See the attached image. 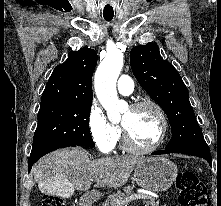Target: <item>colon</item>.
<instances>
[{"mask_svg":"<svg viewBox=\"0 0 221 206\" xmlns=\"http://www.w3.org/2000/svg\"><path fill=\"white\" fill-rule=\"evenodd\" d=\"M181 206H210V199L204 183L191 171H182L177 176L176 182ZM42 206H67L61 198L54 195H44Z\"/></svg>","mask_w":221,"mask_h":206,"instance_id":"obj_1","label":"colon"}]
</instances>
